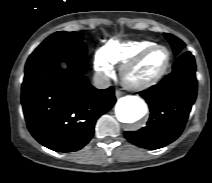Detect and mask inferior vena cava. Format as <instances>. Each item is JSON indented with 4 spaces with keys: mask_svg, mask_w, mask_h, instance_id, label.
Wrapping results in <instances>:
<instances>
[{
    "mask_svg": "<svg viewBox=\"0 0 212 183\" xmlns=\"http://www.w3.org/2000/svg\"><path fill=\"white\" fill-rule=\"evenodd\" d=\"M93 84L98 89H105L110 86V78L102 73H96L93 78Z\"/></svg>",
    "mask_w": 212,
    "mask_h": 183,
    "instance_id": "1",
    "label": "inferior vena cava"
}]
</instances>
